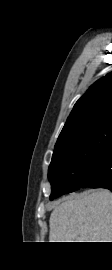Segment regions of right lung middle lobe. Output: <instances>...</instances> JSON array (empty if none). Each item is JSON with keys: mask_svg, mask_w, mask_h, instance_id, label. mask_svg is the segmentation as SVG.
<instances>
[{"mask_svg": "<svg viewBox=\"0 0 112 270\" xmlns=\"http://www.w3.org/2000/svg\"><path fill=\"white\" fill-rule=\"evenodd\" d=\"M112 143V122L92 127L55 145L48 170L50 200L81 187L85 171Z\"/></svg>", "mask_w": 112, "mask_h": 270, "instance_id": "1", "label": "right lung middle lobe"}]
</instances>
